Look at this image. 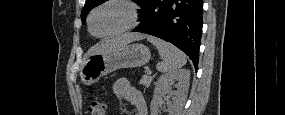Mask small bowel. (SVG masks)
<instances>
[{"label": "small bowel", "instance_id": "c3829d8e", "mask_svg": "<svg viewBox=\"0 0 285 115\" xmlns=\"http://www.w3.org/2000/svg\"><path fill=\"white\" fill-rule=\"evenodd\" d=\"M113 93L135 108V115H147V104L142 92L127 79L118 78L112 85Z\"/></svg>", "mask_w": 285, "mask_h": 115}]
</instances>
